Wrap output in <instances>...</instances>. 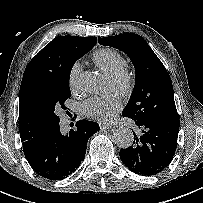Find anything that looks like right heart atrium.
Segmentation results:
<instances>
[{"label": "right heart atrium", "instance_id": "right-heart-atrium-1", "mask_svg": "<svg viewBox=\"0 0 203 203\" xmlns=\"http://www.w3.org/2000/svg\"><path fill=\"white\" fill-rule=\"evenodd\" d=\"M81 72L82 65L80 62H75L70 68L68 84L72 92H76L79 89Z\"/></svg>", "mask_w": 203, "mask_h": 203}]
</instances>
